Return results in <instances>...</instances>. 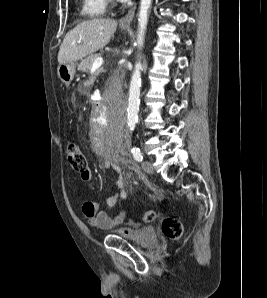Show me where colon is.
Masks as SVG:
<instances>
[{"mask_svg":"<svg viewBox=\"0 0 267 298\" xmlns=\"http://www.w3.org/2000/svg\"><path fill=\"white\" fill-rule=\"evenodd\" d=\"M66 156L72 169L76 171L81 178H86L89 173L88 162L85 154L75 143H69L66 148ZM156 213L153 210L146 211L142 217L143 222H151L155 219ZM163 234L172 240L178 239L183 232L182 223L173 217H167L162 221Z\"/></svg>","mask_w":267,"mask_h":298,"instance_id":"1","label":"colon"}]
</instances>
